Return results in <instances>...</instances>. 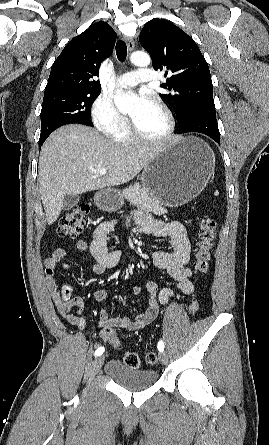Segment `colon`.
<instances>
[{"instance_id":"5ec220e1","label":"colon","mask_w":269,"mask_h":445,"mask_svg":"<svg viewBox=\"0 0 269 445\" xmlns=\"http://www.w3.org/2000/svg\"><path fill=\"white\" fill-rule=\"evenodd\" d=\"M89 213V206L85 204L78 205L72 210L64 214L58 223L57 233L61 238H77L86 226V220ZM199 238L197 242V250L195 253V269L200 274H205L209 270L211 261V250L214 243L216 222L210 217H202L199 220ZM49 273V271L47 270ZM68 289V288H66ZM188 309L191 313H195L199 309V301L192 299L188 305ZM107 342L118 345L119 341L116 333L113 330H109L105 333ZM145 361L147 364L153 365L158 361V357L155 352H148L145 355ZM123 362L126 366L131 368H137L140 365V357L135 352H128L124 355Z\"/></svg>"}]
</instances>
